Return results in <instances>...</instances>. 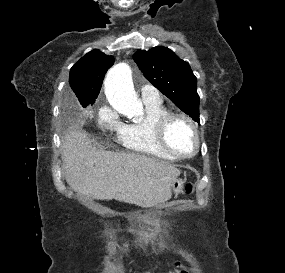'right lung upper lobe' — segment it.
<instances>
[{"mask_svg":"<svg viewBox=\"0 0 285 273\" xmlns=\"http://www.w3.org/2000/svg\"><path fill=\"white\" fill-rule=\"evenodd\" d=\"M113 63L112 56L93 50L72 66L69 83L82 105L95 102L105 73Z\"/></svg>","mask_w":285,"mask_h":273,"instance_id":"right-lung-upper-lobe-1","label":"right lung upper lobe"}]
</instances>
